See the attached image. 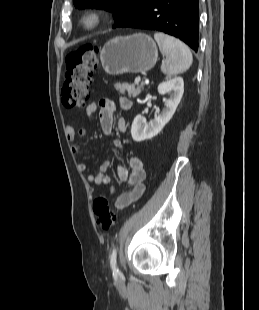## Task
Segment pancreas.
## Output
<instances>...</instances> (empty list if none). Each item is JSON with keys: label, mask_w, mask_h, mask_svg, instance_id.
Wrapping results in <instances>:
<instances>
[{"label": "pancreas", "mask_w": 259, "mask_h": 310, "mask_svg": "<svg viewBox=\"0 0 259 310\" xmlns=\"http://www.w3.org/2000/svg\"><path fill=\"white\" fill-rule=\"evenodd\" d=\"M114 87L121 94L125 95L127 93L129 98H135L141 93L144 87V83L141 84L116 83Z\"/></svg>", "instance_id": "cf45deb5"}]
</instances>
